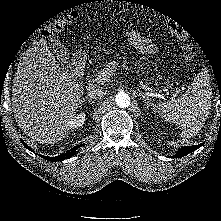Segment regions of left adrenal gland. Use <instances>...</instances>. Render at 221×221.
I'll list each match as a JSON object with an SVG mask.
<instances>
[{"instance_id":"obj_1","label":"left adrenal gland","mask_w":221,"mask_h":221,"mask_svg":"<svg viewBox=\"0 0 221 221\" xmlns=\"http://www.w3.org/2000/svg\"><path fill=\"white\" fill-rule=\"evenodd\" d=\"M138 92H139V96H141V97L144 99V101H146L147 108L149 109L150 106L153 107V104L151 103L150 98H149L148 96H146V95L144 94V92H142V91H140V90H138Z\"/></svg>"}]
</instances>
